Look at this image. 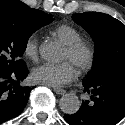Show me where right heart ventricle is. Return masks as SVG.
<instances>
[{"instance_id": "e07e8e85", "label": "right heart ventricle", "mask_w": 125, "mask_h": 125, "mask_svg": "<svg viewBox=\"0 0 125 125\" xmlns=\"http://www.w3.org/2000/svg\"><path fill=\"white\" fill-rule=\"evenodd\" d=\"M56 36L65 44H71L82 38L81 33L72 26L60 25L55 29Z\"/></svg>"}]
</instances>
